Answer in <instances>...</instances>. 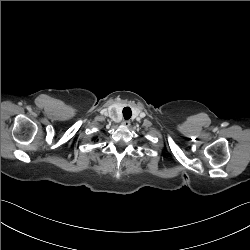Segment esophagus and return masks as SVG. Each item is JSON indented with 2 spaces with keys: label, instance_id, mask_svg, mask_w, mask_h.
<instances>
[{
  "label": "esophagus",
  "instance_id": "esophagus-1",
  "mask_svg": "<svg viewBox=\"0 0 250 250\" xmlns=\"http://www.w3.org/2000/svg\"><path fill=\"white\" fill-rule=\"evenodd\" d=\"M121 124H122L123 126H125V127H128V126H130V121H128V120H123Z\"/></svg>",
  "mask_w": 250,
  "mask_h": 250
}]
</instances>
